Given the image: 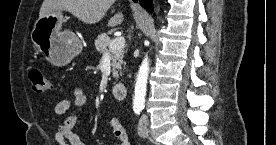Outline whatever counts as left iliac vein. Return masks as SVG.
Wrapping results in <instances>:
<instances>
[{"label":"left iliac vein","mask_w":276,"mask_h":145,"mask_svg":"<svg viewBox=\"0 0 276 145\" xmlns=\"http://www.w3.org/2000/svg\"><path fill=\"white\" fill-rule=\"evenodd\" d=\"M149 121L148 117L146 115H143L140 118L139 124H138V134L142 138H146L149 134V129H148Z\"/></svg>","instance_id":"obj_1"}]
</instances>
